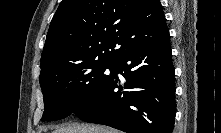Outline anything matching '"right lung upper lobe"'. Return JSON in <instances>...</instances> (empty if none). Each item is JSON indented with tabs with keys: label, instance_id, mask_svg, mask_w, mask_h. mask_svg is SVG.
I'll return each instance as SVG.
<instances>
[{
	"label": "right lung upper lobe",
	"instance_id": "1",
	"mask_svg": "<svg viewBox=\"0 0 221 133\" xmlns=\"http://www.w3.org/2000/svg\"><path fill=\"white\" fill-rule=\"evenodd\" d=\"M167 37L159 0H62L48 30L40 75L61 64L114 62Z\"/></svg>",
	"mask_w": 221,
	"mask_h": 133
}]
</instances>
